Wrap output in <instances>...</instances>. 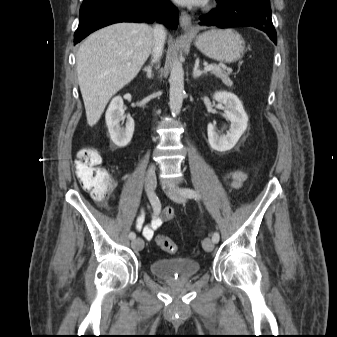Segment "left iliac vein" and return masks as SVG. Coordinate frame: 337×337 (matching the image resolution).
<instances>
[{
    "label": "left iliac vein",
    "mask_w": 337,
    "mask_h": 337,
    "mask_svg": "<svg viewBox=\"0 0 337 337\" xmlns=\"http://www.w3.org/2000/svg\"><path fill=\"white\" fill-rule=\"evenodd\" d=\"M167 196L175 202L183 203L185 198L183 197L180 188L169 187L166 189ZM203 248L207 252H211L214 249V242L211 238H205L203 241Z\"/></svg>",
    "instance_id": "left-iliac-vein-1"
}]
</instances>
